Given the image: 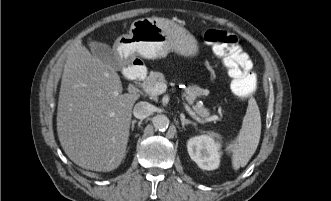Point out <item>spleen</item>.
Instances as JSON below:
<instances>
[{
  "label": "spleen",
  "instance_id": "3e777b00",
  "mask_svg": "<svg viewBox=\"0 0 331 201\" xmlns=\"http://www.w3.org/2000/svg\"><path fill=\"white\" fill-rule=\"evenodd\" d=\"M261 135V117L258 105L254 99L249 100L242 128L227 151L232 152V166L234 170L247 165L259 144Z\"/></svg>",
  "mask_w": 331,
  "mask_h": 201
}]
</instances>
